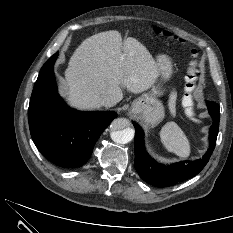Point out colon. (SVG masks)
<instances>
[{
	"mask_svg": "<svg viewBox=\"0 0 233 233\" xmlns=\"http://www.w3.org/2000/svg\"><path fill=\"white\" fill-rule=\"evenodd\" d=\"M157 33L162 34L165 37H171V34L166 31H162L160 29L155 30ZM192 61L189 65V68L186 73V106L188 108L192 107V100H191V92L196 87L197 79H198V68H197V57L198 53L196 50H191Z\"/></svg>",
	"mask_w": 233,
	"mask_h": 233,
	"instance_id": "colon-1",
	"label": "colon"
}]
</instances>
